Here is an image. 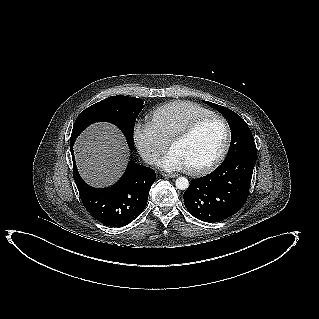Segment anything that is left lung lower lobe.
<instances>
[{"label":"left lung lower lobe","instance_id":"obj_1","mask_svg":"<svg viewBox=\"0 0 319 319\" xmlns=\"http://www.w3.org/2000/svg\"><path fill=\"white\" fill-rule=\"evenodd\" d=\"M256 157L242 155L223 163L212 173L192 180L184 204L195 218L213 223L234 215L245 204Z\"/></svg>","mask_w":319,"mask_h":319}]
</instances>
